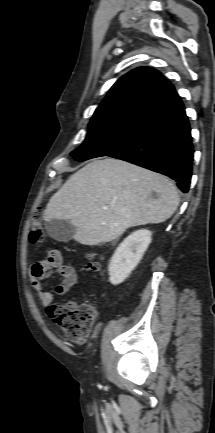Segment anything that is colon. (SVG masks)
<instances>
[{
    "label": "colon",
    "mask_w": 215,
    "mask_h": 433,
    "mask_svg": "<svg viewBox=\"0 0 215 433\" xmlns=\"http://www.w3.org/2000/svg\"><path fill=\"white\" fill-rule=\"evenodd\" d=\"M29 236L32 243L40 242L43 237V219L39 208L33 214ZM100 267V260L96 254H89L85 268L90 271H99ZM47 312L67 339L78 344L87 341L96 317L93 305L52 304L48 307Z\"/></svg>",
    "instance_id": "colon-1"
}]
</instances>
